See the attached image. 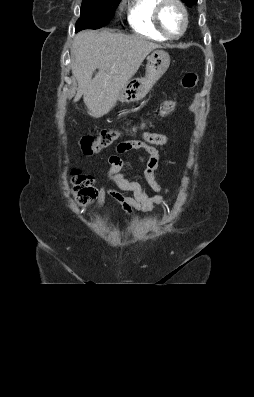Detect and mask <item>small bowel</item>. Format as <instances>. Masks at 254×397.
<instances>
[{
	"label": "small bowel",
	"instance_id": "c3829d8e",
	"mask_svg": "<svg viewBox=\"0 0 254 397\" xmlns=\"http://www.w3.org/2000/svg\"><path fill=\"white\" fill-rule=\"evenodd\" d=\"M168 142L169 139L165 134L145 131L141 140H127L119 143L116 147V154L108 158L109 168L107 171V177L116 185L117 189L111 187H102L100 189L96 211L102 207L105 194L113 197L126 212V217L121 227H124L132 220L135 212L154 210L163 201V194L167 192L155 177V170L160 160L159 152L155 146H164ZM131 150H143L149 155L147 167L144 170V177L148 185L158 193L157 195L148 196L144 193L140 183L130 181L121 174L124 163L119 154ZM123 191L132 192V196L125 195Z\"/></svg>",
	"mask_w": 254,
	"mask_h": 397
}]
</instances>
